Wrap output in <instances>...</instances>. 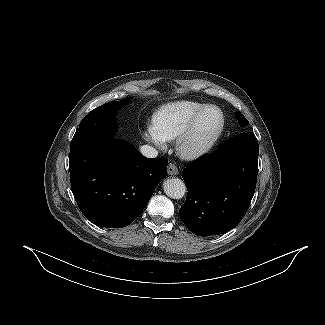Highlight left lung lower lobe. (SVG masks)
Masks as SVG:
<instances>
[{
    "label": "left lung lower lobe",
    "mask_w": 325,
    "mask_h": 325,
    "mask_svg": "<svg viewBox=\"0 0 325 325\" xmlns=\"http://www.w3.org/2000/svg\"><path fill=\"white\" fill-rule=\"evenodd\" d=\"M258 153L255 135L241 133L186 166L188 192L179 214L192 233L223 234L242 220L256 187Z\"/></svg>",
    "instance_id": "0a47b994"
}]
</instances>
